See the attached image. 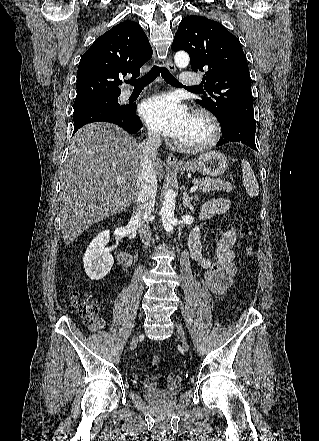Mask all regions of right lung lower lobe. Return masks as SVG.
I'll return each mask as SVG.
<instances>
[{"label": "right lung lower lobe", "instance_id": "right-lung-lower-lobe-1", "mask_svg": "<svg viewBox=\"0 0 319 441\" xmlns=\"http://www.w3.org/2000/svg\"><path fill=\"white\" fill-rule=\"evenodd\" d=\"M73 134L83 125L92 122H111L124 128L128 133H137L142 124L136 115V104H129L127 109L96 108L73 115Z\"/></svg>", "mask_w": 319, "mask_h": 441}]
</instances>
